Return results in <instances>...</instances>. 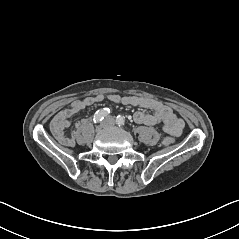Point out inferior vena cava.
<instances>
[{"instance_id": "inferior-vena-cava-1", "label": "inferior vena cava", "mask_w": 239, "mask_h": 239, "mask_svg": "<svg viewBox=\"0 0 239 239\" xmlns=\"http://www.w3.org/2000/svg\"><path fill=\"white\" fill-rule=\"evenodd\" d=\"M114 125V118L112 116H106L104 120L100 121V126L102 128H109Z\"/></svg>"}]
</instances>
